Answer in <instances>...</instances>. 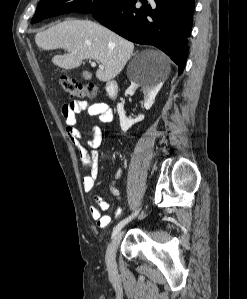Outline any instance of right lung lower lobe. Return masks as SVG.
Masks as SVG:
<instances>
[{"label":"right lung lower lobe","mask_w":247,"mask_h":299,"mask_svg":"<svg viewBox=\"0 0 247 299\" xmlns=\"http://www.w3.org/2000/svg\"><path fill=\"white\" fill-rule=\"evenodd\" d=\"M141 2L142 6L136 5ZM194 0H121L92 15L120 36L165 52L179 74L188 56Z\"/></svg>","instance_id":"98d812e1"}]
</instances>
